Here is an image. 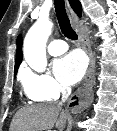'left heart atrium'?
Returning <instances> with one entry per match:
<instances>
[{"instance_id": "left-heart-atrium-1", "label": "left heart atrium", "mask_w": 117, "mask_h": 131, "mask_svg": "<svg viewBox=\"0 0 117 131\" xmlns=\"http://www.w3.org/2000/svg\"><path fill=\"white\" fill-rule=\"evenodd\" d=\"M56 77L65 85L77 83L84 75L86 60L77 51L58 59L53 66Z\"/></svg>"}]
</instances>
